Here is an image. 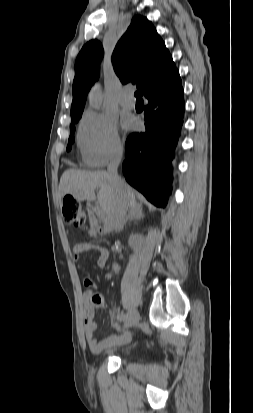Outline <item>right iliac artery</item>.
<instances>
[{
  "instance_id": "right-iliac-artery-1",
  "label": "right iliac artery",
  "mask_w": 253,
  "mask_h": 413,
  "mask_svg": "<svg viewBox=\"0 0 253 413\" xmlns=\"http://www.w3.org/2000/svg\"><path fill=\"white\" fill-rule=\"evenodd\" d=\"M127 317H128L127 314L121 313V314L118 315L117 318H118L120 321H122V320H126Z\"/></svg>"
}]
</instances>
